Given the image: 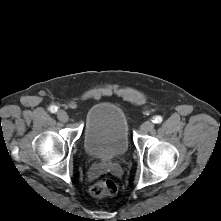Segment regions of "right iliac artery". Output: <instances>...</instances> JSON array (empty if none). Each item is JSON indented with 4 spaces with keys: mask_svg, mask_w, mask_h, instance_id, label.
I'll use <instances>...</instances> for the list:
<instances>
[{
    "mask_svg": "<svg viewBox=\"0 0 221 221\" xmlns=\"http://www.w3.org/2000/svg\"><path fill=\"white\" fill-rule=\"evenodd\" d=\"M49 110H50L52 113H55V112H57L58 108H57V106L52 105V106H50Z\"/></svg>",
    "mask_w": 221,
    "mask_h": 221,
    "instance_id": "1",
    "label": "right iliac artery"
}]
</instances>
